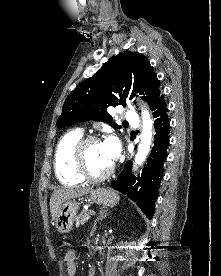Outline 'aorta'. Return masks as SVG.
<instances>
[{
  "instance_id": "762f6f07",
  "label": "aorta",
  "mask_w": 221,
  "mask_h": 276,
  "mask_svg": "<svg viewBox=\"0 0 221 276\" xmlns=\"http://www.w3.org/2000/svg\"><path fill=\"white\" fill-rule=\"evenodd\" d=\"M152 120L150 118L149 112L144 109L142 111V133L140 144L137 149V154L135 156V165H141L146 159L152 141Z\"/></svg>"
}]
</instances>
